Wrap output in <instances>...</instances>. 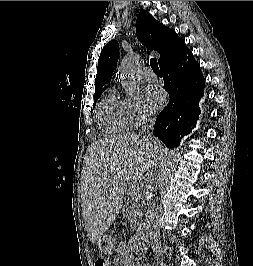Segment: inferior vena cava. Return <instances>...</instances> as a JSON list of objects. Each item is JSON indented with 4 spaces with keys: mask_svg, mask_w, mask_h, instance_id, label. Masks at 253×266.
I'll return each instance as SVG.
<instances>
[{
    "mask_svg": "<svg viewBox=\"0 0 253 266\" xmlns=\"http://www.w3.org/2000/svg\"><path fill=\"white\" fill-rule=\"evenodd\" d=\"M155 123V116L153 114H147L143 117L142 128L140 134L143 138L151 142L153 140V126ZM151 174L145 177L146 191L143 193V200L147 201V207L145 208V228L148 231L149 238L152 240L153 249L156 254L160 252V246L158 242V229L156 227V210L154 205L151 203L153 198V186Z\"/></svg>",
    "mask_w": 253,
    "mask_h": 266,
    "instance_id": "1",
    "label": "inferior vena cava"
}]
</instances>
